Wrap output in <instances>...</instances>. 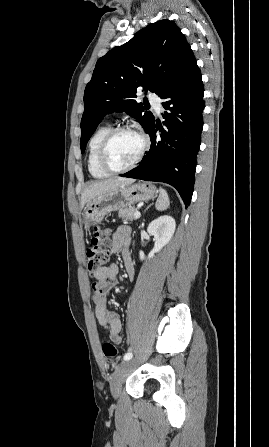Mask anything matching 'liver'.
Masks as SVG:
<instances>
[{
  "mask_svg": "<svg viewBox=\"0 0 269 447\" xmlns=\"http://www.w3.org/2000/svg\"><path fill=\"white\" fill-rule=\"evenodd\" d=\"M135 180H130V178H118V180H95V182H90L89 186L83 190L81 194V208L83 210L85 204L97 198V196H102V194H107L111 190H116L119 186H129L133 184Z\"/></svg>",
  "mask_w": 269,
  "mask_h": 447,
  "instance_id": "1",
  "label": "liver"
}]
</instances>
